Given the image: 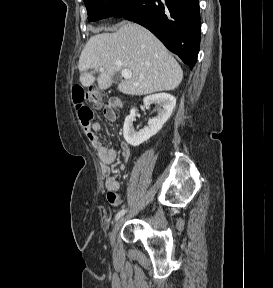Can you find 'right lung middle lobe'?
Listing matches in <instances>:
<instances>
[{"mask_svg": "<svg viewBox=\"0 0 273 288\" xmlns=\"http://www.w3.org/2000/svg\"><path fill=\"white\" fill-rule=\"evenodd\" d=\"M138 0H84L88 20L97 21L107 17H122Z\"/></svg>", "mask_w": 273, "mask_h": 288, "instance_id": "dd1d6c3e", "label": "right lung middle lobe"}]
</instances>
